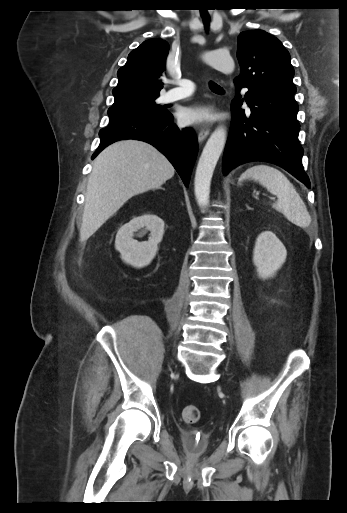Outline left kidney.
<instances>
[{
	"label": "left kidney",
	"mask_w": 347,
	"mask_h": 513,
	"mask_svg": "<svg viewBox=\"0 0 347 513\" xmlns=\"http://www.w3.org/2000/svg\"><path fill=\"white\" fill-rule=\"evenodd\" d=\"M287 251L273 232H262L256 239L253 263L262 279L273 277L286 260Z\"/></svg>",
	"instance_id": "5707ae66"
}]
</instances>
